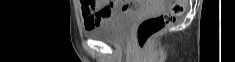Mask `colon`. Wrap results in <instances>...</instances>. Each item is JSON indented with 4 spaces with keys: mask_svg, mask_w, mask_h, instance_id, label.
Listing matches in <instances>:
<instances>
[{
    "mask_svg": "<svg viewBox=\"0 0 235 62\" xmlns=\"http://www.w3.org/2000/svg\"><path fill=\"white\" fill-rule=\"evenodd\" d=\"M186 5L187 0H171L168 11L141 21L135 32L137 45L144 48L154 35L173 24L185 12Z\"/></svg>",
    "mask_w": 235,
    "mask_h": 62,
    "instance_id": "1",
    "label": "colon"
}]
</instances>
